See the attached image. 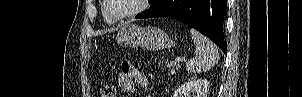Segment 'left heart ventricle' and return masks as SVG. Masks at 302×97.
Returning <instances> with one entry per match:
<instances>
[{"mask_svg":"<svg viewBox=\"0 0 302 97\" xmlns=\"http://www.w3.org/2000/svg\"><path fill=\"white\" fill-rule=\"evenodd\" d=\"M110 10L115 15H124L134 10L138 5V0H109Z\"/></svg>","mask_w":302,"mask_h":97,"instance_id":"1","label":"left heart ventricle"}]
</instances>
